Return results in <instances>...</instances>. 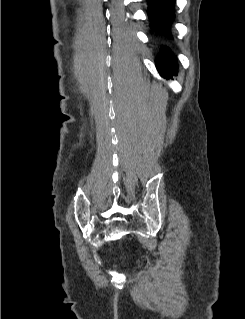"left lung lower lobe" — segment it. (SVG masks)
<instances>
[{"mask_svg": "<svg viewBox=\"0 0 245 319\" xmlns=\"http://www.w3.org/2000/svg\"><path fill=\"white\" fill-rule=\"evenodd\" d=\"M148 1V17L151 27L158 33L171 37L169 34V26L174 19V2L175 0H147ZM176 57L171 51L164 47L161 49L159 57L156 58V66L163 77L173 76L177 74Z\"/></svg>", "mask_w": 245, "mask_h": 319, "instance_id": "0a47b994", "label": "left lung lower lobe"}]
</instances>
